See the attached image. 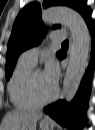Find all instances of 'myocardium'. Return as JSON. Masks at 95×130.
Masks as SVG:
<instances>
[{
	"instance_id": "myocardium-1",
	"label": "myocardium",
	"mask_w": 95,
	"mask_h": 130,
	"mask_svg": "<svg viewBox=\"0 0 95 130\" xmlns=\"http://www.w3.org/2000/svg\"><path fill=\"white\" fill-rule=\"evenodd\" d=\"M35 73H36V71H32L28 77V83H27L28 95L35 104H37L38 106H44V105H47V104L53 102L57 98L59 89L56 86L54 93L51 97L46 98V99H41L38 96V94L36 92V88H35V82H34Z\"/></svg>"
}]
</instances>
